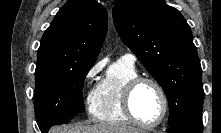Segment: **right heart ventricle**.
<instances>
[{
  "label": "right heart ventricle",
  "instance_id": "1",
  "mask_svg": "<svg viewBox=\"0 0 221 133\" xmlns=\"http://www.w3.org/2000/svg\"><path fill=\"white\" fill-rule=\"evenodd\" d=\"M137 76L134 64L120 59L112 63L91 96L89 109L92 117L105 124H129L131 121L124 113L122 95L125 85Z\"/></svg>",
  "mask_w": 221,
  "mask_h": 133
}]
</instances>
